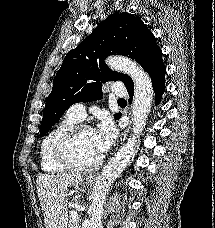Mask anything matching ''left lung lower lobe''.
<instances>
[{
    "mask_svg": "<svg viewBox=\"0 0 215 228\" xmlns=\"http://www.w3.org/2000/svg\"><path fill=\"white\" fill-rule=\"evenodd\" d=\"M146 72L150 75L152 80V85L155 93V102L156 104L160 103V100L162 98V94L165 90V73L166 68L162 61V51H158L152 62L149 64V66L146 69ZM131 102L134 92V86L132 85L127 89ZM121 116V114L118 115L117 119Z\"/></svg>",
    "mask_w": 215,
    "mask_h": 228,
    "instance_id": "obj_1",
    "label": "left lung lower lobe"
}]
</instances>
